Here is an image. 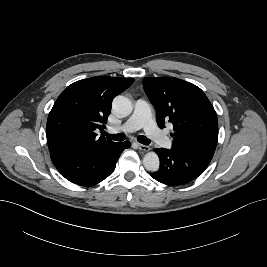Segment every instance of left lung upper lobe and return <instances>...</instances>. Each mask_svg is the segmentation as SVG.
Instances as JSON below:
<instances>
[{
	"label": "left lung upper lobe",
	"instance_id": "left-lung-upper-lobe-1",
	"mask_svg": "<svg viewBox=\"0 0 267 267\" xmlns=\"http://www.w3.org/2000/svg\"><path fill=\"white\" fill-rule=\"evenodd\" d=\"M145 93L156 109L157 123L173 124L172 148L213 157L218 140L216 112L204 92L174 77L144 78Z\"/></svg>",
	"mask_w": 267,
	"mask_h": 267
}]
</instances>
